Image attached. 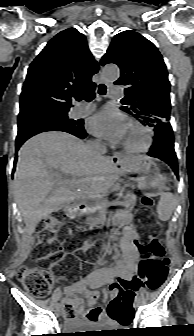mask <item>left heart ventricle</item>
<instances>
[{"label":"left heart ventricle","instance_id":"b2bd125f","mask_svg":"<svg viewBox=\"0 0 194 336\" xmlns=\"http://www.w3.org/2000/svg\"><path fill=\"white\" fill-rule=\"evenodd\" d=\"M144 139L143 133L127 125L122 143L131 147H138L144 143Z\"/></svg>","mask_w":194,"mask_h":336}]
</instances>
